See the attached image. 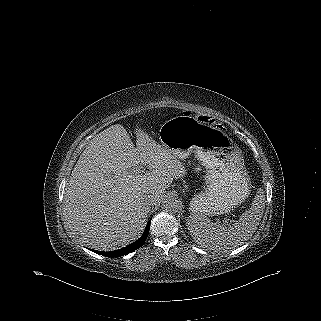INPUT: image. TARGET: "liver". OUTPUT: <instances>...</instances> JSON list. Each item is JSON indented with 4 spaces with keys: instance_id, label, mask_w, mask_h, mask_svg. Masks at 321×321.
Returning <instances> with one entry per match:
<instances>
[{
    "instance_id": "liver-1",
    "label": "liver",
    "mask_w": 321,
    "mask_h": 321,
    "mask_svg": "<svg viewBox=\"0 0 321 321\" xmlns=\"http://www.w3.org/2000/svg\"><path fill=\"white\" fill-rule=\"evenodd\" d=\"M134 147L126 129L115 124L97 134L80 155L64 195V217L82 243L115 250L142 233L149 206L156 204L184 165L142 130ZM149 171L138 173L139 164Z\"/></svg>"
}]
</instances>
